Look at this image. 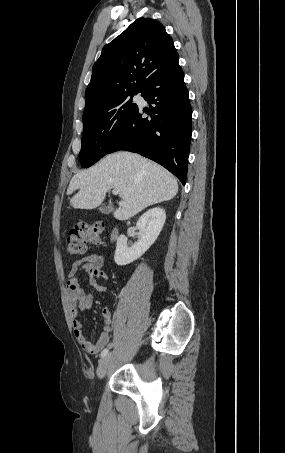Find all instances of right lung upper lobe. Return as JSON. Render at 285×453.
I'll return each mask as SVG.
<instances>
[{
  "label": "right lung upper lobe",
  "mask_w": 285,
  "mask_h": 453,
  "mask_svg": "<svg viewBox=\"0 0 285 453\" xmlns=\"http://www.w3.org/2000/svg\"><path fill=\"white\" fill-rule=\"evenodd\" d=\"M178 60L173 40L160 22L143 17L135 20L103 48L93 65L84 113L112 98L141 92Z\"/></svg>",
  "instance_id": "obj_1"
}]
</instances>
